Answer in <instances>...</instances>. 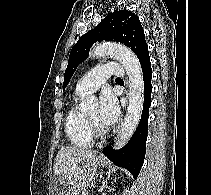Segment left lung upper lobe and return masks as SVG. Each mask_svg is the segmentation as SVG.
Wrapping results in <instances>:
<instances>
[{"label": "left lung upper lobe", "instance_id": "1", "mask_svg": "<svg viewBox=\"0 0 211 195\" xmlns=\"http://www.w3.org/2000/svg\"><path fill=\"white\" fill-rule=\"evenodd\" d=\"M103 40L120 42L130 47L139 58L140 63L149 58L144 31L137 15L127 10H115L108 14L93 30L81 36L71 49L64 74V89L77 66L88 57L93 43Z\"/></svg>", "mask_w": 211, "mask_h": 195}]
</instances>
